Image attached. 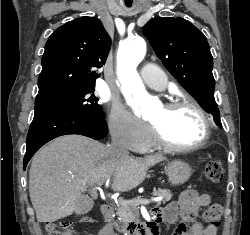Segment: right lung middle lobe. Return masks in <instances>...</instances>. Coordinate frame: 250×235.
<instances>
[{
	"instance_id": "dd1d6c3e",
	"label": "right lung middle lobe",
	"mask_w": 250,
	"mask_h": 235,
	"mask_svg": "<svg viewBox=\"0 0 250 235\" xmlns=\"http://www.w3.org/2000/svg\"><path fill=\"white\" fill-rule=\"evenodd\" d=\"M95 85L37 97L34 109L49 108L82 112L93 117L104 118L102 106L94 96Z\"/></svg>"
}]
</instances>
